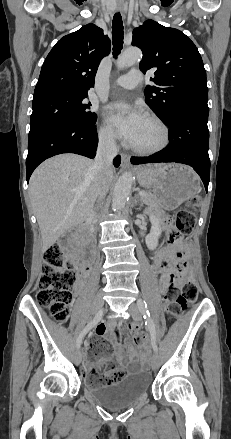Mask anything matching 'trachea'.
Returning <instances> with one entry per match:
<instances>
[{"mask_svg":"<svg viewBox=\"0 0 231 439\" xmlns=\"http://www.w3.org/2000/svg\"><path fill=\"white\" fill-rule=\"evenodd\" d=\"M113 56L116 58L123 47L124 31L120 13H116L112 21Z\"/></svg>","mask_w":231,"mask_h":439,"instance_id":"obj_1","label":"trachea"}]
</instances>
